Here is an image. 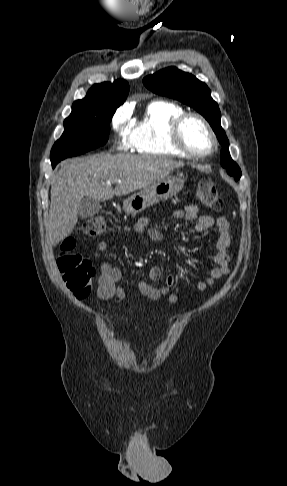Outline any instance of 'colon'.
Listing matches in <instances>:
<instances>
[{
	"mask_svg": "<svg viewBox=\"0 0 287 486\" xmlns=\"http://www.w3.org/2000/svg\"><path fill=\"white\" fill-rule=\"evenodd\" d=\"M198 197L202 204L214 211H220L223 206L221 196L215 184L208 178L198 182ZM106 228L105 220L95 216L87 219L82 225V232L89 237L101 235ZM76 240L64 241L61 253L57 258V266L69 290L78 299L86 298L92 290L96 270L92 263L74 251Z\"/></svg>",
	"mask_w": 287,
	"mask_h": 486,
	"instance_id": "colon-1",
	"label": "colon"
}]
</instances>
